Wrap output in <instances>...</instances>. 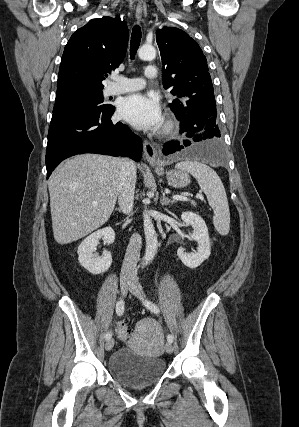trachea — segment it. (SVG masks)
I'll use <instances>...</instances> for the list:
<instances>
[{"label": "trachea", "mask_w": 299, "mask_h": 427, "mask_svg": "<svg viewBox=\"0 0 299 427\" xmlns=\"http://www.w3.org/2000/svg\"><path fill=\"white\" fill-rule=\"evenodd\" d=\"M141 42V28L139 25H135L132 30L131 34V41H130V58L131 60L134 59V56L140 46Z\"/></svg>", "instance_id": "1"}]
</instances>
